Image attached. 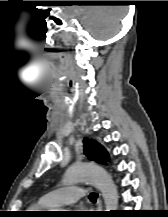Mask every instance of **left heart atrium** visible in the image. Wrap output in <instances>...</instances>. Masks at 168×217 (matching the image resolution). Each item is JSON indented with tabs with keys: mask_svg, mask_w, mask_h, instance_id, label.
<instances>
[{
	"mask_svg": "<svg viewBox=\"0 0 168 217\" xmlns=\"http://www.w3.org/2000/svg\"><path fill=\"white\" fill-rule=\"evenodd\" d=\"M76 215H77L76 217H82L83 212L82 211H78Z\"/></svg>",
	"mask_w": 168,
	"mask_h": 217,
	"instance_id": "1",
	"label": "left heart atrium"
}]
</instances>
